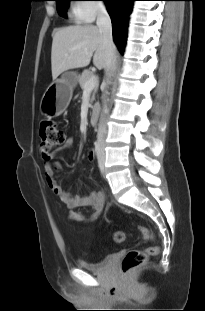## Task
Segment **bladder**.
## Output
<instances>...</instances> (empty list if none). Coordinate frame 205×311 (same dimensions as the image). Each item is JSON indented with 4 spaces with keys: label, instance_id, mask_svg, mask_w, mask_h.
<instances>
[{
    "label": "bladder",
    "instance_id": "bladder-1",
    "mask_svg": "<svg viewBox=\"0 0 205 311\" xmlns=\"http://www.w3.org/2000/svg\"><path fill=\"white\" fill-rule=\"evenodd\" d=\"M113 258L114 255H108L102 260L97 262H88L85 260H79L78 266L87 271L102 272Z\"/></svg>",
    "mask_w": 205,
    "mask_h": 311
}]
</instances>
